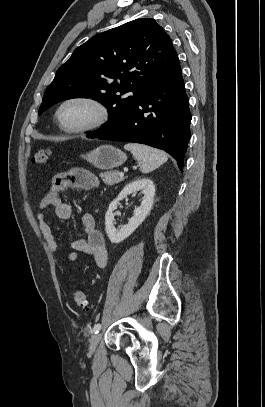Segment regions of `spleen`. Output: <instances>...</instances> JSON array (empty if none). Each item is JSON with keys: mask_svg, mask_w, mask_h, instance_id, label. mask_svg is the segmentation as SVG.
Masks as SVG:
<instances>
[{"mask_svg": "<svg viewBox=\"0 0 265 407\" xmlns=\"http://www.w3.org/2000/svg\"><path fill=\"white\" fill-rule=\"evenodd\" d=\"M124 149L130 151L135 159L139 161L142 173H149L168 160L165 152L147 145L128 143L124 146Z\"/></svg>", "mask_w": 265, "mask_h": 407, "instance_id": "obj_1", "label": "spleen"}]
</instances>
